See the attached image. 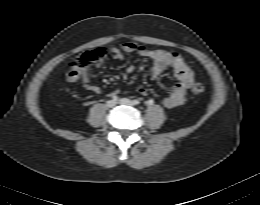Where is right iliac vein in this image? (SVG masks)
<instances>
[{"instance_id": "right-iliac-vein-1", "label": "right iliac vein", "mask_w": 260, "mask_h": 205, "mask_svg": "<svg viewBox=\"0 0 260 205\" xmlns=\"http://www.w3.org/2000/svg\"><path fill=\"white\" fill-rule=\"evenodd\" d=\"M115 105H116V102L113 101V100H109V101H107V103H106V106H107L108 108H113Z\"/></svg>"}]
</instances>
